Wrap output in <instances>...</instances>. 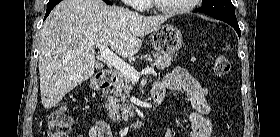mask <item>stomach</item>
Listing matches in <instances>:
<instances>
[{
  "label": "stomach",
  "mask_w": 280,
  "mask_h": 137,
  "mask_svg": "<svg viewBox=\"0 0 280 137\" xmlns=\"http://www.w3.org/2000/svg\"><path fill=\"white\" fill-rule=\"evenodd\" d=\"M154 49L163 55H171L177 52L183 45L181 32L173 25L163 24L151 34Z\"/></svg>",
  "instance_id": "0dacf381"
}]
</instances>
